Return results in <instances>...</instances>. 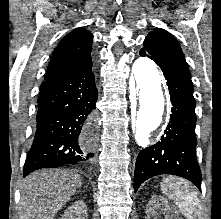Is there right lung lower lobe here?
Listing matches in <instances>:
<instances>
[{"label":"right lung lower lobe","instance_id":"obj_1","mask_svg":"<svg viewBox=\"0 0 221 219\" xmlns=\"http://www.w3.org/2000/svg\"><path fill=\"white\" fill-rule=\"evenodd\" d=\"M97 97L92 60L42 83L34 139L23 177L41 168L74 165L94 158V141L90 139Z\"/></svg>","mask_w":221,"mask_h":219}]
</instances>
